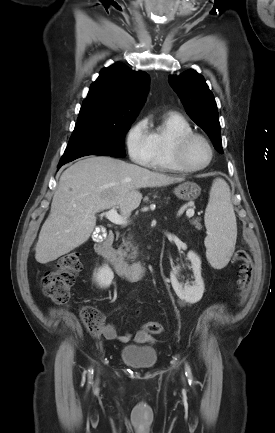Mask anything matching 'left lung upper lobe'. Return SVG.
I'll list each match as a JSON object with an SVG mask.
<instances>
[{"label": "left lung upper lobe", "instance_id": "left-lung-upper-lobe-1", "mask_svg": "<svg viewBox=\"0 0 275 433\" xmlns=\"http://www.w3.org/2000/svg\"><path fill=\"white\" fill-rule=\"evenodd\" d=\"M169 83L189 117L207 133L217 152L222 154L217 105L203 76L190 69L180 76H170Z\"/></svg>", "mask_w": 275, "mask_h": 433}]
</instances>
